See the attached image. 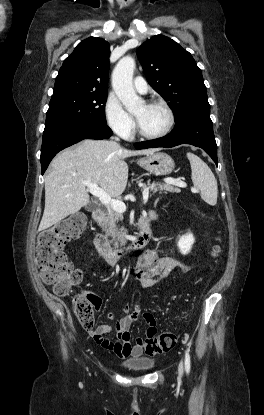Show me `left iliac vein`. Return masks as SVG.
<instances>
[{
  "mask_svg": "<svg viewBox=\"0 0 264 415\" xmlns=\"http://www.w3.org/2000/svg\"><path fill=\"white\" fill-rule=\"evenodd\" d=\"M178 371H179V375L182 376L183 375V362L182 361L179 364Z\"/></svg>",
  "mask_w": 264,
  "mask_h": 415,
  "instance_id": "left-iliac-vein-1",
  "label": "left iliac vein"
}]
</instances>
